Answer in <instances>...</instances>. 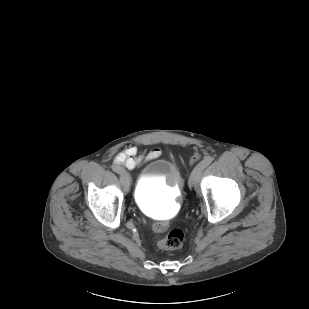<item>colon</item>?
<instances>
[{
	"label": "colon",
	"instance_id": "colon-1",
	"mask_svg": "<svg viewBox=\"0 0 309 309\" xmlns=\"http://www.w3.org/2000/svg\"><path fill=\"white\" fill-rule=\"evenodd\" d=\"M200 153L196 152L190 159V165L195 166L200 160ZM169 223L165 220L158 221L153 225V231L160 235L167 231ZM184 241V232L181 229H172L165 237L157 238V246L163 250H174L182 246Z\"/></svg>",
	"mask_w": 309,
	"mask_h": 309
}]
</instances>
